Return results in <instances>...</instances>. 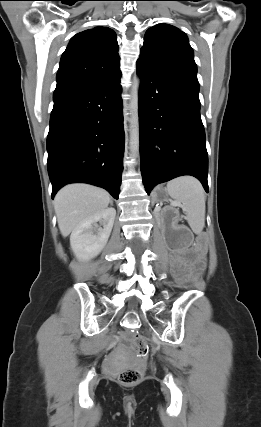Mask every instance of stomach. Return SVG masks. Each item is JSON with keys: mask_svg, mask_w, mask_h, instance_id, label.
I'll list each match as a JSON object with an SVG mask.
<instances>
[{"mask_svg": "<svg viewBox=\"0 0 261 427\" xmlns=\"http://www.w3.org/2000/svg\"><path fill=\"white\" fill-rule=\"evenodd\" d=\"M153 200L161 202L167 200V190L163 188H157L153 193Z\"/></svg>", "mask_w": 261, "mask_h": 427, "instance_id": "stomach-1", "label": "stomach"}]
</instances>
